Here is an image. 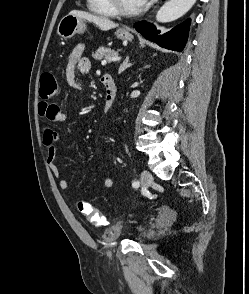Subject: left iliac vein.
<instances>
[{"label": "left iliac vein", "instance_id": "4c4485c4", "mask_svg": "<svg viewBox=\"0 0 249 294\" xmlns=\"http://www.w3.org/2000/svg\"><path fill=\"white\" fill-rule=\"evenodd\" d=\"M141 182L143 183L145 188H148L153 182L152 174L147 170H143L141 173Z\"/></svg>", "mask_w": 249, "mask_h": 294}]
</instances>
